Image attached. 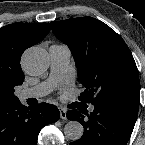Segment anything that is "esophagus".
<instances>
[{
  "mask_svg": "<svg viewBox=\"0 0 145 145\" xmlns=\"http://www.w3.org/2000/svg\"><path fill=\"white\" fill-rule=\"evenodd\" d=\"M59 111H60V118L66 120L67 119V112H66V110L63 109V108H60Z\"/></svg>",
  "mask_w": 145,
  "mask_h": 145,
  "instance_id": "1",
  "label": "esophagus"
}]
</instances>
